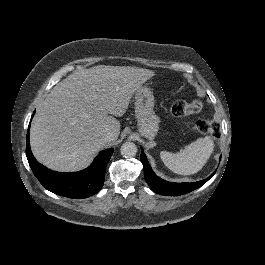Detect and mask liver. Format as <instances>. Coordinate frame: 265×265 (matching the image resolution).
Instances as JSON below:
<instances>
[{
    "mask_svg": "<svg viewBox=\"0 0 265 265\" xmlns=\"http://www.w3.org/2000/svg\"><path fill=\"white\" fill-rule=\"evenodd\" d=\"M155 75L134 66L98 65L73 71L54 86L37 110L30 148L50 170L70 173L87 168L108 142L117 140L120 121L135 90ZM111 114V115H108Z\"/></svg>",
    "mask_w": 265,
    "mask_h": 265,
    "instance_id": "obj_1",
    "label": "liver"
}]
</instances>
